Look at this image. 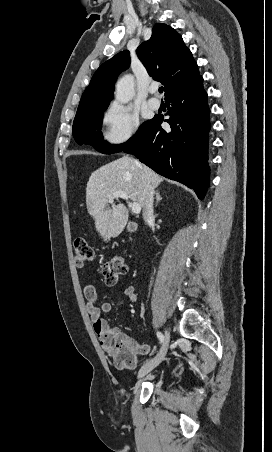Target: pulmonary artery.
Segmentation results:
<instances>
[{"label": "pulmonary artery", "instance_id": "pulmonary-artery-1", "mask_svg": "<svg viewBox=\"0 0 272 452\" xmlns=\"http://www.w3.org/2000/svg\"><path fill=\"white\" fill-rule=\"evenodd\" d=\"M149 92H150L152 95H154V94L157 92L156 86H151V87L149 88ZM148 105H149V107H150L151 109H153V110H158V109L160 108L161 103H160V100H159V99H157V98H155V97H151V98L148 100Z\"/></svg>", "mask_w": 272, "mask_h": 452}]
</instances>
